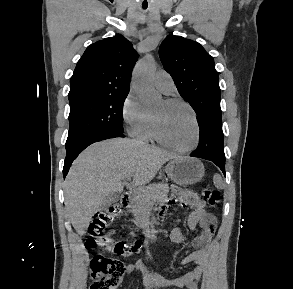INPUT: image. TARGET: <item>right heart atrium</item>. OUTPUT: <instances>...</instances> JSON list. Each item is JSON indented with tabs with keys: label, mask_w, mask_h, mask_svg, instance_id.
Segmentation results:
<instances>
[{
	"label": "right heart atrium",
	"mask_w": 293,
	"mask_h": 289,
	"mask_svg": "<svg viewBox=\"0 0 293 289\" xmlns=\"http://www.w3.org/2000/svg\"><path fill=\"white\" fill-rule=\"evenodd\" d=\"M121 117L127 132L132 136H138L148 118V113L133 92L128 93L122 104Z\"/></svg>",
	"instance_id": "1"
}]
</instances>
